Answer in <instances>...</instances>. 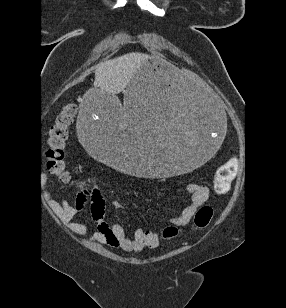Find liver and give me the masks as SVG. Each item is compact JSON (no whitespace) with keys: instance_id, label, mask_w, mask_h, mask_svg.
<instances>
[{"instance_id":"obj_1","label":"liver","mask_w":286,"mask_h":308,"mask_svg":"<svg viewBox=\"0 0 286 308\" xmlns=\"http://www.w3.org/2000/svg\"><path fill=\"white\" fill-rule=\"evenodd\" d=\"M147 58V54L132 52L99 64L95 70L94 86L114 96L121 93ZM124 122L122 117V124Z\"/></svg>"}]
</instances>
